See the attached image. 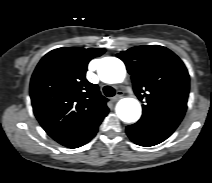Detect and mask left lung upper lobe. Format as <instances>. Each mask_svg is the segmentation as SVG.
Returning <instances> with one entry per match:
<instances>
[{"label": "left lung upper lobe", "instance_id": "obj_1", "mask_svg": "<svg viewBox=\"0 0 212 183\" xmlns=\"http://www.w3.org/2000/svg\"><path fill=\"white\" fill-rule=\"evenodd\" d=\"M117 57L131 75L135 94L146 99L139 121L175 130L185 114L189 94V74L183 62L158 45L133 47Z\"/></svg>", "mask_w": 212, "mask_h": 183}]
</instances>
